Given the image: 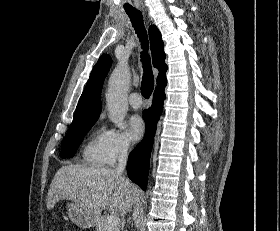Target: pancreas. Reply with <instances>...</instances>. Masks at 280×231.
I'll list each match as a JSON object with an SVG mask.
<instances>
[{
    "label": "pancreas",
    "instance_id": "1",
    "mask_svg": "<svg viewBox=\"0 0 280 231\" xmlns=\"http://www.w3.org/2000/svg\"><path fill=\"white\" fill-rule=\"evenodd\" d=\"M108 213H105V215H101V217H98L96 221V231H119V225H110L108 223Z\"/></svg>",
    "mask_w": 280,
    "mask_h": 231
}]
</instances>
